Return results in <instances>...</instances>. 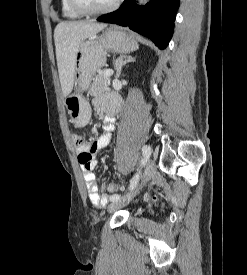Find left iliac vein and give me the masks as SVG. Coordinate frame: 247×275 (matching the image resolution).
<instances>
[{
	"label": "left iliac vein",
	"mask_w": 247,
	"mask_h": 275,
	"mask_svg": "<svg viewBox=\"0 0 247 275\" xmlns=\"http://www.w3.org/2000/svg\"><path fill=\"white\" fill-rule=\"evenodd\" d=\"M155 174H156V165L154 160L150 159L147 162L140 185L130 195L112 202L108 208V211L114 212L120 207H122L123 205H125L127 202H129L135 195L139 193L140 189L155 176Z\"/></svg>",
	"instance_id": "1"
}]
</instances>
